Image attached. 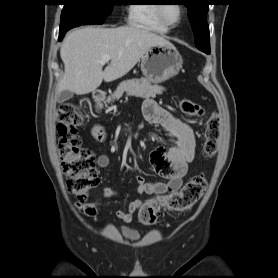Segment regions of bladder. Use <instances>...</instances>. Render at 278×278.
<instances>
[{
  "label": "bladder",
  "instance_id": "31cf9c89",
  "mask_svg": "<svg viewBox=\"0 0 278 278\" xmlns=\"http://www.w3.org/2000/svg\"><path fill=\"white\" fill-rule=\"evenodd\" d=\"M129 238H134L132 235L130 234H126Z\"/></svg>",
  "mask_w": 278,
  "mask_h": 278
}]
</instances>
